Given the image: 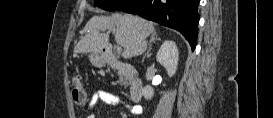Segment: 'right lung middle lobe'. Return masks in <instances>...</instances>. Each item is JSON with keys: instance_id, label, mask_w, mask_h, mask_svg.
<instances>
[{"instance_id": "1", "label": "right lung middle lobe", "mask_w": 273, "mask_h": 118, "mask_svg": "<svg viewBox=\"0 0 273 118\" xmlns=\"http://www.w3.org/2000/svg\"><path fill=\"white\" fill-rule=\"evenodd\" d=\"M133 0H95L94 6L100 7L107 11L121 10Z\"/></svg>"}]
</instances>
